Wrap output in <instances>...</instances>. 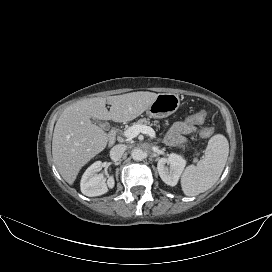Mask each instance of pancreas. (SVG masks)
Masks as SVG:
<instances>
[{
	"label": "pancreas",
	"instance_id": "cf45deb5",
	"mask_svg": "<svg viewBox=\"0 0 272 272\" xmlns=\"http://www.w3.org/2000/svg\"><path fill=\"white\" fill-rule=\"evenodd\" d=\"M154 124H156V122H154ZM136 125H152L149 121V119H140L137 121Z\"/></svg>",
	"mask_w": 272,
	"mask_h": 272
}]
</instances>
